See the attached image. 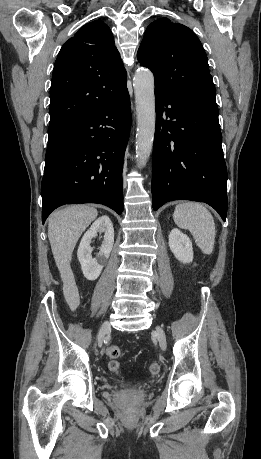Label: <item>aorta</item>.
Wrapping results in <instances>:
<instances>
[{
    "label": "aorta",
    "instance_id": "1",
    "mask_svg": "<svg viewBox=\"0 0 261 459\" xmlns=\"http://www.w3.org/2000/svg\"><path fill=\"white\" fill-rule=\"evenodd\" d=\"M133 86L137 114L136 157L138 168H143L150 157L155 133L153 73L145 68L138 69L133 78Z\"/></svg>",
    "mask_w": 261,
    "mask_h": 459
}]
</instances>
